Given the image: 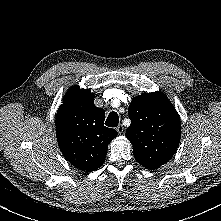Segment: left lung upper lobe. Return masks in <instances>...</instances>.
Masks as SVG:
<instances>
[{"label":"left lung upper lobe","instance_id":"left-lung-upper-lobe-1","mask_svg":"<svg viewBox=\"0 0 221 221\" xmlns=\"http://www.w3.org/2000/svg\"><path fill=\"white\" fill-rule=\"evenodd\" d=\"M131 125L126 137L139 164L157 169L175 154L181 137L180 118L161 92L143 93L132 99L128 109Z\"/></svg>","mask_w":221,"mask_h":221}]
</instances>
